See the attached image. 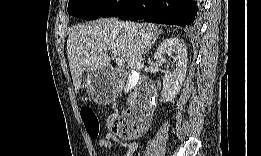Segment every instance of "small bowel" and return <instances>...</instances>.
<instances>
[{
  "label": "small bowel",
  "instance_id": "1",
  "mask_svg": "<svg viewBox=\"0 0 261 156\" xmlns=\"http://www.w3.org/2000/svg\"><path fill=\"white\" fill-rule=\"evenodd\" d=\"M98 144L103 149H110L116 144L120 145L126 150L128 156L133 155L137 150V144L135 142L125 143L112 133H107L105 137L100 138Z\"/></svg>",
  "mask_w": 261,
  "mask_h": 156
}]
</instances>
